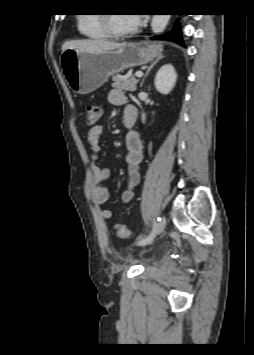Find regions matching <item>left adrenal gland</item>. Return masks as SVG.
<instances>
[{
  "label": "left adrenal gland",
  "mask_w": 254,
  "mask_h": 355,
  "mask_svg": "<svg viewBox=\"0 0 254 355\" xmlns=\"http://www.w3.org/2000/svg\"><path fill=\"white\" fill-rule=\"evenodd\" d=\"M163 55L162 54H159L157 59L150 65V67L148 68V70L146 71V74L145 76L143 77L141 83H140V87L142 88L143 87V84H144V81H145V78L148 76L149 72L151 71V69L154 67V65L160 61L161 59H163Z\"/></svg>",
  "instance_id": "obj_1"
}]
</instances>
